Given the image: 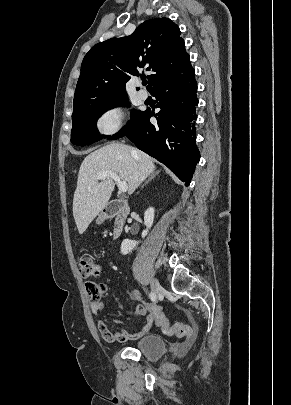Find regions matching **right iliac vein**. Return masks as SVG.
<instances>
[{
  "label": "right iliac vein",
  "instance_id": "1",
  "mask_svg": "<svg viewBox=\"0 0 291 405\" xmlns=\"http://www.w3.org/2000/svg\"><path fill=\"white\" fill-rule=\"evenodd\" d=\"M152 292L157 295L161 290V286L157 279H152L150 282Z\"/></svg>",
  "mask_w": 291,
  "mask_h": 405
}]
</instances>
